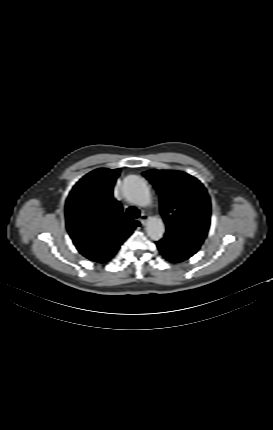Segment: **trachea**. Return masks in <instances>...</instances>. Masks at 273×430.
Listing matches in <instances>:
<instances>
[{
  "instance_id": "trachea-1",
  "label": "trachea",
  "mask_w": 273,
  "mask_h": 430,
  "mask_svg": "<svg viewBox=\"0 0 273 430\" xmlns=\"http://www.w3.org/2000/svg\"><path fill=\"white\" fill-rule=\"evenodd\" d=\"M139 215L140 211L136 207L131 206L126 210L125 218L126 220H133L138 218Z\"/></svg>"
}]
</instances>
